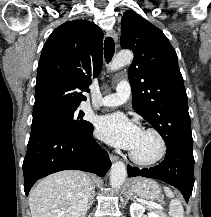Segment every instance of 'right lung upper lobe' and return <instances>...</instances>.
<instances>
[{
	"mask_svg": "<svg viewBox=\"0 0 211 217\" xmlns=\"http://www.w3.org/2000/svg\"><path fill=\"white\" fill-rule=\"evenodd\" d=\"M103 32L86 20L68 21L46 41L38 64L33 119L77 109L102 68Z\"/></svg>",
	"mask_w": 211,
	"mask_h": 217,
	"instance_id": "1",
	"label": "right lung upper lobe"
}]
</instances>
